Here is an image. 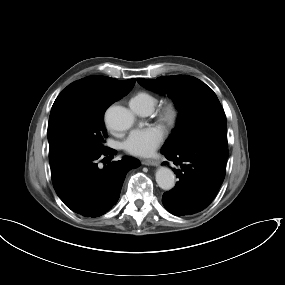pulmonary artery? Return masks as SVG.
<instances>
[{
	"instance_id": "obj_1",
	"label": "pulmonary artery",
	"mask_w": 285,
	"mask_h": 285,
	"mask_svg": "<svg viewBox=\"0 0 285 285\" xmlns=\"http://www.w3.org/2000/svg\"><path fill=\"white\" fill-rule=\"evenodd\" d=\"M130 106L136 113L139 114H149L152 110L150 107L147 106H137L133 102H130Z\"/></svg>"
}]
</instances>
